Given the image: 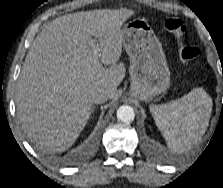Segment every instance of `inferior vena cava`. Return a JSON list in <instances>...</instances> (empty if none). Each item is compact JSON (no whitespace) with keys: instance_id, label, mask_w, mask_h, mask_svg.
Segmentation results:
<instances>
[{"instance_id":"1","label":"inferior vena cava","mask_w":223,"mask_h":188,"mask_svg":"<svg viewBox=\"0 0 223 188\" xmlns=\"http://www.w3.org/2000/svg\"><path fill=\"white\" fill-rule=\"evenodd\" d=\"M109 99V94L103 89H97L91 92L90 100L94 104H100Z\"/></svg>"}]
</instances>
